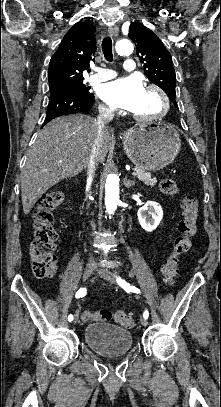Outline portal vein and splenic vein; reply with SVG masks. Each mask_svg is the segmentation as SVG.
I'll list each match as a JSON object with an SVG mask.
<instances>
[{
  "instance_id": "1",
  "label": "portal vein and splenic vein",
  "mask_w": 221,
  "mask_h": 407,
  "mask_svg": "<svg viewBox=\"0 0 221 407\" xmlns=\"http://www.w3.org/2000/svg\"><path fill=\"white\" fill-rule=\"evenodd\" d=\"M132 175H134V176H135V175H136V172L134 171V172L132 173Z\"/></svg>"
}]
</instances>
